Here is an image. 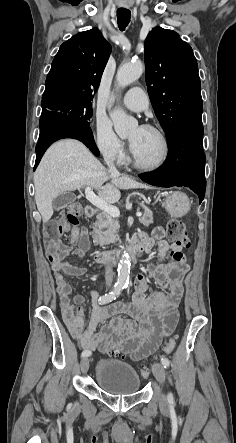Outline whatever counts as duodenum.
Here are the masks:
<instances>
[{
  "mask_svg": "<svg viewBox=\"0 0 236 443\" xmlns=\"http://www.w3.org/2000/svg\"><path fill=\"white\" fill-rule=\"evenodd\" d=\"M86 216L92 218L96 215L95 208L92 205L86 207L85 210ZM140 257V250L135 247L131 248L130 258L132 261L138 260ZM120 255L109 254L105 252L98 251L95 253V260L99 265H106L109 263H117L120 260Z\"/></svg>",
  "mask_w": 236,
  "mask_h": 443,
  "instance_id": "duodenum-1",
  "label": "duodenum"
}]
</instances>
